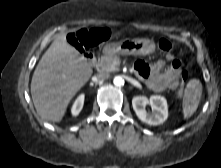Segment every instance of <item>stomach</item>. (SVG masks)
<instances>
[{
  "label": "stomach",
  "mask_w": 221,
  "mask_h": 168,
  "mask_svg": "<svg viewBox=\"0 0 221 168\" xmlns=\"http://www.w3.org/2000/svg\"><path fill=\"white\" fill-rule=\"evenodd\" d=\"M155 43L150 39H125L108 43L104 47L106 54L147 55L155 51Z\"/></svg>",
  "instance_id": "0dacf381"
}]
</instances>
